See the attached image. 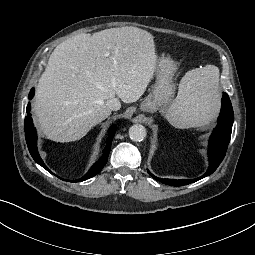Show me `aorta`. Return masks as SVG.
Instances as JSON below:
<instances>
[{
  "label": "aorta",
  "instance_id": "1",
  "mask_svg": "<svg viewBox=\"0 0 255 255\" xmlns=\"http://www.w3.org/2000/svg\"><path fill=\"white\" fill-rule=\"evenodd\" d=\"M146 129L141 124H134L129 128V137L132 141L141 142L146 137Z\"/></svg>",
  "mask_w": 255,
  "mask_h": 255
}]
</instances>
